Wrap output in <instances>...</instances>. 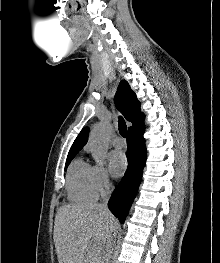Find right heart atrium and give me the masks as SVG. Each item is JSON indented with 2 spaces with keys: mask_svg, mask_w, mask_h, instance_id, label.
Returning a JSON list of instances; mask_svg holds the SVG:
<instances>
[{
  "mask_svg": "<svg viewBox=\"0 0 220 263\" xmlns=\"http://www.w3.org/2000/svg\"><path fill=\"white\" fill-rule=\"evenodd\" d=\"M94 181L99 193H106L112 187V181L107 169L103 166H94Z\"/></svg>",
  "mask_w": 220,
  "mask_h": 263,
  "instance_id": "d8ad5b80",
  "label": "right heart atrium"
}]
</instances>
